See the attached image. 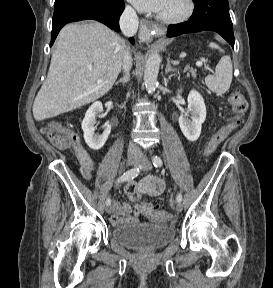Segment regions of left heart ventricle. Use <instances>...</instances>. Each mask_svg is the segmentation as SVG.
<instances>
[{
    "mask_svg": "<svg viewBox=\"0 0 273 288\" xmlns=\"http://www.w3.org/2000/svg\"><path fill=\"white\" fill-rule=\"evenodd\" d=\"M185 8V0H167V3L160 14L165 16H177L183 13Z\"/></svg>",
    "mask_w": 273,
    "mask_h": 288,
    "instance_id": "1",
    "label": "left heart ventricle"
}]
</instances>
